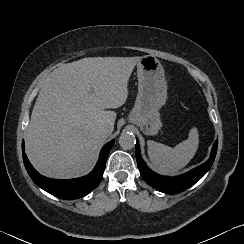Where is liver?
<instances>
[{"mask_svg": "<svg viewBox=\"0 0 244 244\" xmlns=\"http://www.w3.org/2000/svg\"><path fill=\"white\" fill-rule=\"evenodd\" d=\"M141 57H93L55 69L43 85L25 134L26 153L41 174L80 177L95 165L116 113L128 96V80Z\"/></svg>", "mask_w": 244, "mask_h": 244, "instance_id": "1", "label": "liver"}]
</instances>
